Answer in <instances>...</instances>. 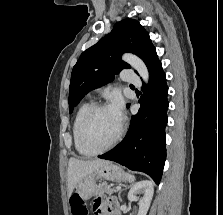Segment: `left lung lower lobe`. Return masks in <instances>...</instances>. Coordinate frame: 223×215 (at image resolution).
Wrapping results in <instances>:
<instances>
[{
  "label": "left lung lower lobe",
  "mask_w": 223,
  "mask_h": 215,
  "mask_svg": "<svg viewBox=\"0 0 223 215\" xmlns=\"http://www.w3.org/2000/svg\"><path fill=\"white\" fill-rule=\"evenodd\" d=\"M149 74V86L146 92L145 86L142 87L144 94L140 99L141 107L131 117L125 138L114 149L98 157L144 172L159 184L166 159L168 87L160 61Z\"/></svg>",
  "instance_id": "left-lung-lower-lobe-1"
}]
</instances>
